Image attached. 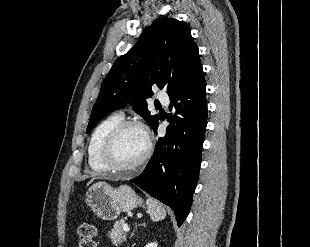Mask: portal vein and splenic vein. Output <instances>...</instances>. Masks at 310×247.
I'll use <instances>...</instances> for the list:
<instances>
[{"label":"portal vein and splenic vein","mask_w":310,"mask_h":247,"mask_svg":"<svg viewBox=\"0 0 310 247\" xmlns=\"http://www.w3.org/2000/svg\"><path fill=\"white\" fill-rule=\"evenodd\" d=\"M123 230H124L125 232H128V231H129V226H128L127 224H124V225H123Z\"/></svg>","instance_id":"1"}]
</instances>
